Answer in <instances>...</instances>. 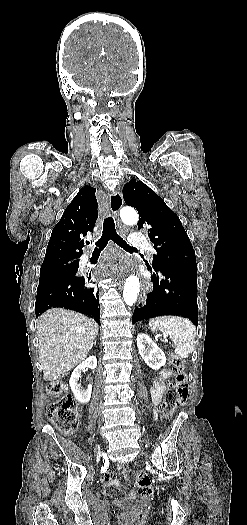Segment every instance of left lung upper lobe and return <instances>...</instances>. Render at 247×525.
Segmentation results:
<instances>
[{"label":"left lung upper lobe","instance_id":"1","mask_svg":"<svg viewBox=\"0 0 247 525\" xmlns=\"http://www.w3.org/2000/svg\"><path fill=\"white\" fill-rule=\"evenodd\" d=\"M128 206L138 210V229L147 228L156 254L149 270L197 277L195 252L179 217L164 200L141 181L130 180L123 187Z\"/></svg>","mask_w":247,"mask_h":525}]
</instances>
